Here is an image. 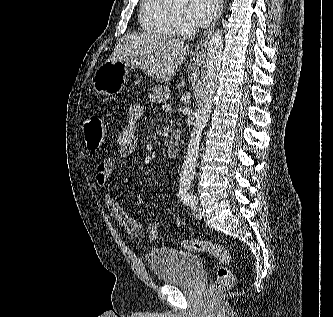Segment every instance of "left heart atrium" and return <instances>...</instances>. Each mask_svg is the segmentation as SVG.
Wrapping results in <instances>:
<instances>
[{
    "instance_id": "1",
    "label": "left heart atrium",
    "mask_w": 333,
    "mask_h": 317,
    "mask_svg": "<svg viewBox=\"0 0 333 317\" xmlns=\"http://www.w3.org/2000/svg\"><path fill=\"white\" fill-rule=\"evenodd\" d=\"M217 7V0H189L185 17L193 26H204L215 15Z\"/></svg>"
}]
</instances>
